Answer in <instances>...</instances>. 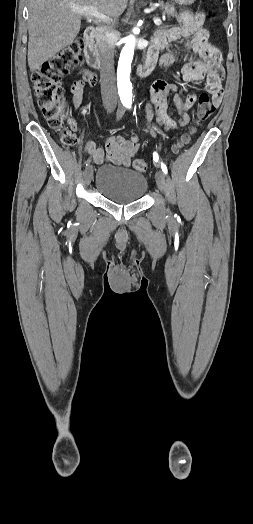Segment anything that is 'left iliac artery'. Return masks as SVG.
Masks as SVG:
<instances>
[{"mask_svg":"<svg viewBox=\"0 0 253 524\" xmlns=\"http://www.w3.org/2000/svg\"><path fill=\"white\" fill-rule=\"evenodd\" d=\"M126 107L130 109L131 108V103H126ZM153 158H154L155 161L158 160V155L156 153H154L153 154ZM161 169H162V171L165 174H167L168 170H167L166 165L163 162H161Z\"/></svg>","mask_w":253,"mask_h":524,"instance_id":"left-iliac-artery-1","label":"left iliac artery"}]
</instances>
